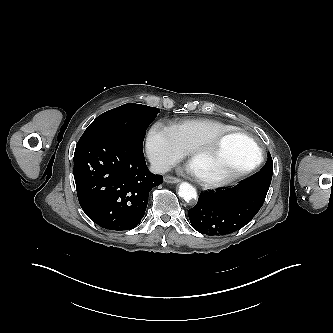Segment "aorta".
Segmentation results:
<instances>
[{"label":"aorta","mask_w":333,"mask_h":333,"mask_svg":"<svg viewBox=\"0 0 333 333\" xmlns=\"http://www.w3.org/2000/svg\"><path fill=\"white\" fill-rule=\"evenodd\" d=\"M178 193H179V196L182 197L185 201H190V200H194L197 198L196 189L187 182H182L179 185Z\"/></svg>","instance_id":"1"}]
</instances>
